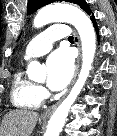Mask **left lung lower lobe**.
<instances>
[{"label":"left lung lower lobe","instance_id":"obj_1","mask_svg":"<svg viewBox=\"0 0 117 136\" xmlns=\"http://www.w3.org/2000/svg\"><path fill=\"white\" fill-rule=\"evenodd\" d=\"M90 15H91V14H90ZM91 20H92V22H93V24H94V27H95V30H96V33H97V37H98V40H99V39H100L99 28H98L97 25H96V19H95L94 15L91 16Z\"/></svg>","mask_w":117,"mask_h":136}]
</instances>
